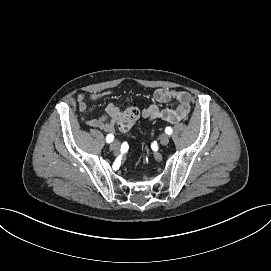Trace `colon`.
<instances>
[{"label": "colon", "mask_w": 271, "mask_h": 271, "mask_svg": "<svg viewBox=\"0 0 271 271\" xmlns=\"http://www.w3.org/2000/svg\"><path fill=\"white\" fill-rule=\"evenodd\" d=\"M140 115L139 109L136 106L127 108L118 122V128L122 132H126L132 128Z\"/></svg>", "instance_id": "obj_1"}]
</instances>
